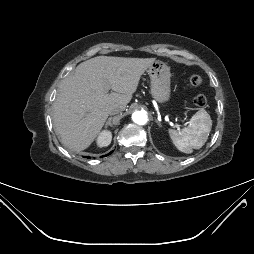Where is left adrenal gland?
Returning a JSON list of instances; mask_svg holds the SVG:
<instances>
[{
	"label": "left adrenal gland",
	"mask_w": 254,
	"mask_h": 254,
	"mask_svg": "<svg viewBox=\"0 0 254 254\" xmlns=\"http://www.w3.org/2000/svg\"><path fill=\"white\" fill-rule=\"evenodd\" d=\"M159 127H161V124L158 120H155Z\"/></svg>",
	"instance_id": "left-adrenal-gland-1"
}]
</instances>
